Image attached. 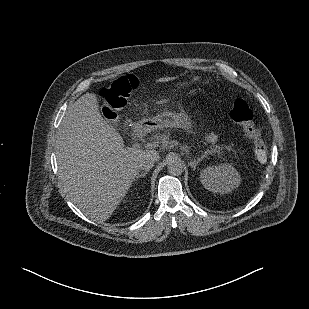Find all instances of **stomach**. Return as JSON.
<instances>
[{"label": "stomach", "mask_w": 309, "mask_h": 309, "mask_svg": "<svg viewBox=\"0 0 309 309\" xmlns=\"http://www.w3.org/2000/svg\"><path fill=\"white\" fill-rule=\"evenodd\" d=\"M189 120L188 115L184 110L178 112H166L155 117L146 119V122L151 123L156 128L175 127L182 128Z\"/></svg>", "instance_id": "obj_1"}]
</instances>
